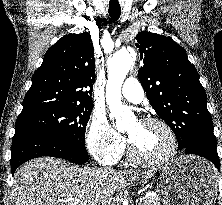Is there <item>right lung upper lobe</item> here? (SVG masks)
Here are the masks:
<instances>
[{
  "mask_svg": "<svg viewBox=\"0 0 222 205\" xmlns=\"http://www.w3.org/2000/svg\"><path fill=\"white\" fill-rule=\"evenodd\" d=\"M94 82L90 34L65 35L48 49L42 65L35 71L22 112L56 105H92Z\"/></svg>",
  "mask_w": 222,
  "mask_h": 205,
  "instance_id": "1",
  "label": "right lung upper lobe"
}]
</instances>
